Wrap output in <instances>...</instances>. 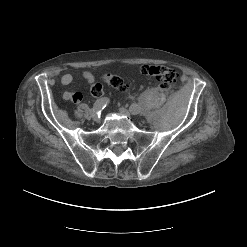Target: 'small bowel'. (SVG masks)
<instances>
[{"label":"small bowel","instance_id":"obj_1","mask_svg":"<svg viewBox=\"0 0 247 247\" xmlns=\"http://www.w3.org/2000/svg\"><path fill=\"white\" fill-rule=\"evenodd\" d=\"M83 79L87 82L88 85H92L95 81L94 75L89 71H84L82 73ZM73 76L71 74H64L61 77V83L64 86H68L72 83ZM64 99L66 100H72L75 103H78L82 100V94L79 92L72 93V92H65L63 95Z\"/></svg>","mask_w":247,"mask_h":247}]
</instances>
